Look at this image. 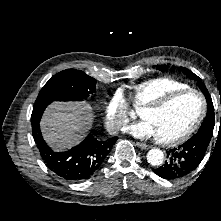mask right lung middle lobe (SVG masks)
Returning a JSON list of instances; mask_svg holds the SVG:
<instances>
[{"mask_svg": "<svg viewBox=\"0 0 221 221\" xmlns=\"http://www.w3.org/2000/svg\"><path fill=\"white\" fill-rule=\"evenodd\" d=\"M96 90V80L81 70L68 69L55 74L41 89L40 101H82Z\"/></svg>", "mask_w": 221, "mask_h": 221, "instance_id": "1", "label": "right lung middle lobe"}]
</instances>
